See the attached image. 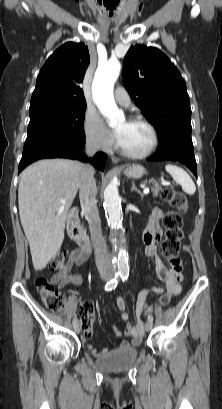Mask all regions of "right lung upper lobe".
<instances>
[{
  "instance_id": "cb5924a9",
  "label": "right lung upper lobe",
  "mask_w": 222,
  "mask_h": 409,
  "mask_svg": "<svg viewBox=\"0 0 222 409\" xmlns=\"http://www.w3.org/2000/svg\"><path fill=\"white\" fill-rule=\"evenodd\" d=\"M90 63L87 46L67 42L59 47L40 70L30 109L47 104L83 103L80 88Z\"/></svg>"
}]
</instances>
